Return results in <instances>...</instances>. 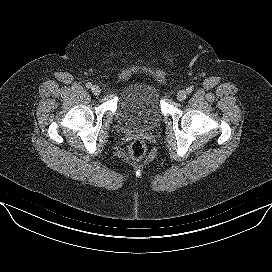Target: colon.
Listing matches in <instances>:
<instances>
[{
    "label": "colon",
    "instance_id": "obj_1",
    "mask_svg": "<svg viewBox=\"0 0 272 272\" xmlns=\"http://www.w3.org/2000/svg\"><path fill=\"white\" fill-rule=\"evenodd\" d=\"M145 152L146 146L144 142L139 139L134 140L129 147L130 156L135 160L141 159L144 156Z\"/></svg>",
    "mask_w": 272,
    "mask_h": 272
}]
</instances>
